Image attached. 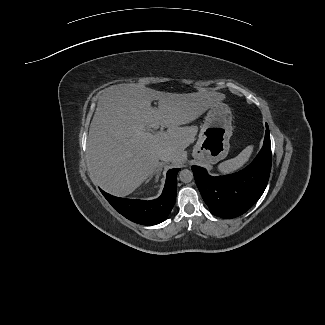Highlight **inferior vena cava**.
I'll list each match as a JSON object with an SVG mask.
<instances>
[{"mask_svg": "<svg viewBox=\"0 0 325 325\" xmlns=\"http://www.w3.org/2000/svg\"><path fill=\"white\" fill-rule=\"evenodd\" d=\"M159 159L164 162H169L173 160V154L170 151L163 150L158 155Z\"/></svg>", "mask_w": 325, "mask_h": 325, "instance_id": "1", "label": "inferior vena cava"}]
</instances>
